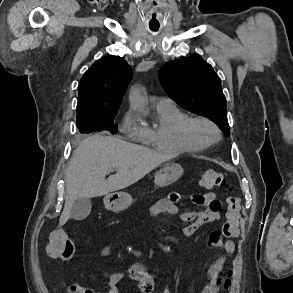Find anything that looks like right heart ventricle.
Wrapping results in <instances>:
<instances>
[{
  "label": "right heart ventricle",
  "instance_id": "obj_1",
  "mask_svg": "<svg viewBox=\"0 0 293 293\" xmlns=\"http://www.w3.org/2000/svg\"><path fill=\"white\" fill-rule=\"evenodd\" d=\"M189 116L174 103L156 107V121L152 127L142 126V139L161 151L196 152L199 148L185 137L184 125Z\"/></svg>",
  "mask_w": 293,
  "mask_h": 293
}]
</instances>
